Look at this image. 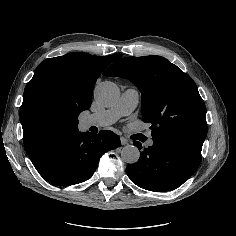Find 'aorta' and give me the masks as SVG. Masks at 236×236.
Masks as SVG:
<instances>
[{
    "label": "aorta",
    "instance_id": "obj_1",
    "mask_svg": "<svg viewBox=\"0 0 236 236\" xmlns=\"http://www.w3.org/2000/svg\"><path fill=\"white\" fill-rule=\"evenodd\" d=\"M119 96V88L110 81L99 83L94 90L95 99L105 107L114 105L118 101ZM121 158L128 164H134L140 158L139 149L134 145H126L121 150Z\"/></svg>",
    "mask_w": 236,
    "mask_h": 236
}]
</instances>
